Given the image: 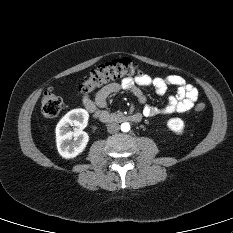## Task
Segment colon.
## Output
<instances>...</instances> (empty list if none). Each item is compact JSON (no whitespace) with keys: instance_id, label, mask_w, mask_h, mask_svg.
<instances>
[{"instance_id":"obj_1","label":"colon","mask_w":233,"mask_h":233,"mask_svg":"<svg viewBox=\"0 0 233 233\" xmlns=\"http://www.w3.org/2000/svg\"><path fill=\"white\" fill-rule=\"evenodd\" d=\"M138 74H140V69L136 63L128 58L116 59L92 70L80 84L79 93L87 95L110 81ZM40 105L45 117L54 118L61 112L63 101L54 92L48 90L42 95ZM204 109L205 104L203 102H199L195 106L196 112H202Z\"/></svg>"}]
</instances>
